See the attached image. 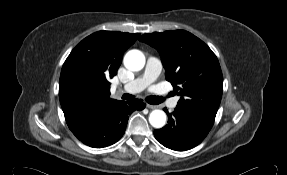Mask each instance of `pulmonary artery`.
Returning a JSON list of instances; mask_svg holds the SVG:
<instances>
[{
	"mask_svg": "<svg viewBox=\"0 0 287 175\" xmlns=\"http://www.w3.org/2000/svg\"><path fill=\"white\" fill-rule=\"evenodd\" d=\"M162 71V63L161 61L154 57L149 56L147 58L146 67L141 76L132 80L128 84L124 85L121 90L127 93L135 94L144 90L149 84L153 83ZM178 102V98H174L170 106L175 108Z\"/></svg>",
	"mask_w": 287,
	"mask_h": 175,
	"instance_id": "1",
	"label": "pulmonary artery"
}]
</instances>
